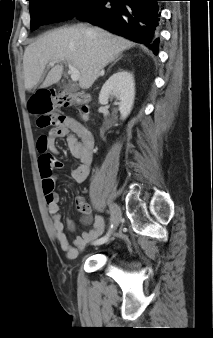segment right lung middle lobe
<instances>
[{"instance_id": "dd1d6c3e", "label": "right lung middle lobe", "mask_w": 213, "mask_h": 338, "mask_svg": "<svg viewBox=\"0 0 213 338\" xmlns=\"http://www.w3.org/2000/svg\"><path fill=\"white\" fill-rule=\"evenodd\" d=\"M96 0H30L31 30L72 19Z\"/></svg>"}]
</instances>
